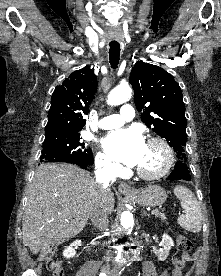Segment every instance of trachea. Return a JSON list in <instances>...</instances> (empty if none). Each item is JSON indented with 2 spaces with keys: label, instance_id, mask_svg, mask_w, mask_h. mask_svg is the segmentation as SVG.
<instances>
[{
  "label": "trachea",
  "instance_id": "3493384b",
  "mask_svg": "<svg viewBox=\"0 0 221 276\" xmlns=\"http://www.w3.org/2000/svg\"><path fill=\"white\" fill-rule=\"evenodd\" d=\"M109 60L111 67L116 69L119 64L120 59V44L116 41H112L109 43Z\"/></svg>",
  "mask_w": 221,
  "mask_h": 276
}]
</instances>
